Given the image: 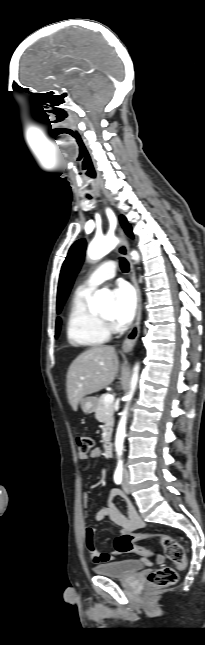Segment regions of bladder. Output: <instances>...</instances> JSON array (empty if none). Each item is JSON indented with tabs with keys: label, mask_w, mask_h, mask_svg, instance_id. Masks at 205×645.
Masks as SVG:
<instances>
[{
	"label": "bladder",
	"mask_w": 205,
	"mask_h": 645,
	"mask_svg": "<svg viewBox=\"0 0 205 645\" xmlns=\"http://www.w3.org/2000/svg\"><path fill=\"white\" fill-rule=\"evenodd\" d=\"M143 568V562L138 559H124L100 563L94 567V571L99 575L124 579L136 574Z\"/></svg>",
	"instance_id": "31cf9c89"
}]
</instances>
